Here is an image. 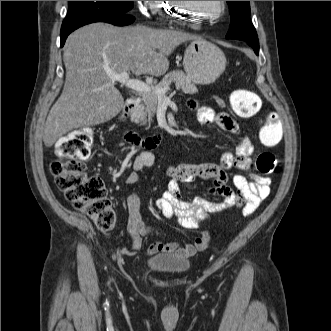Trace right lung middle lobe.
<instances>
[{"label":"right lung middle lobe","instance_id":"dd1d6c3e","mask_svg":"<svg viewBox=\"0 0 331 331\" xmlns=\"http://www.w3.org/2000/svg\"><path fill=\"white\" fill-rule=\"evenodd\" d=\"M133 1H69L61 33L103 17L127 15Z\"/></svg>","mask_w":331,"mask_h":331}]
</instances>
